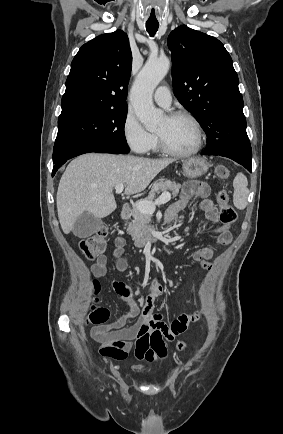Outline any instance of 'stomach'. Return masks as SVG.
<instances>
[{"label": "stomach", "mask_w": 283, "mask_h": 434, "mask_svg": "<svg viewBox=\"0 0 283 434\" xmlns=\"http://www.w3.org/2000/svg\"><path fill=\"white\" fill-rule=\"evenodd\" d=\"M209 169L208 162L200 157H193L182 161L183 175L187 178H197Z\"/></svg>", "instance_id": "stomach-1"}]
</instances>
